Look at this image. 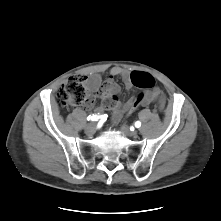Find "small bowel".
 <instances>
[{"instance_id":"small-bowel-1","label":"small bowel","mask_w":221,"mask_h":221,"mask_svg":"<svg viewBox=\"0 0 221 221\" xmlns=\"http://www.w3.org/2000/svg\"><path fill=\"white\" fill-rule=\"evenodd\" d=\"M133 73L148 74L141 71H129L121 67H114L110 71V79L102 82L98 74H92L85 77L87 88L94 93H97L102 99L103 103L96 107L98 111L111 110L113 112L112 121L118 122L124 115L132 114L138 106H146L156 103L160 110L165 106V96L158 88H153L144 93L143 100L137 104L136 98H131L126 102L121 103L118 99L120 91L119 86L114 82V77H121L125 83L126 89H130L134 83L132 82ZM150 75V74H148ZM90 106H94V102Z\"/></svg>"}]
</instances>
